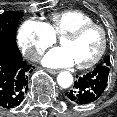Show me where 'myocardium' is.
<instances>
[{"instance_id":"1","label":"myocardium","mask_w":117,"mask_h":117,"mask_svg":"<svg viewBox=\"0 0 117 117\" xmlns=\"http://www.w3.org/2000/svg\"><path fill=\"white\" fill-rule=\"evenodd\" d=\"M90 29H97L100 31V33L102 35V43H101L100 49L98 50L97 54L90 61H88L87 63H84V64H76L77 68L81 69V70L92 68L102 59V57L104 56V54L107 50V46H108L107 31L105 30L104 27H102L99 24L89 23V24H84V25L78 26L75 29L65 33L61 37V40L63 38H77Z\"/></svg>"}]
</instances>
